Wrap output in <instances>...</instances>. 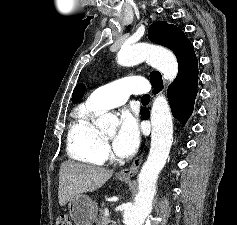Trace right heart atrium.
I'll list each match as a JSON object with an SVG mask.
<instances>
[{"label":"right heart atrium","instance_id":"1","mask_svg":"<svg viewBox=\"0 0 237 225\" xmlns=\"http://www.w3.org/2000/svg\"><path fill=\"white\" fill-rule=\"evenodd\" d=\"M103 152H104L105 157L107 158L109 154V148L105 144H103Z\"/></svg>","mask_w":237,"mask_h":225}]
</instances>
